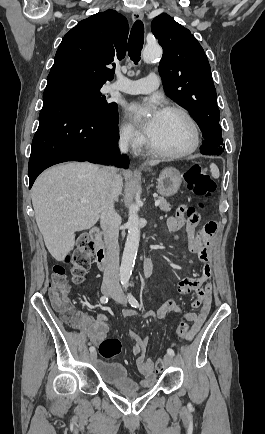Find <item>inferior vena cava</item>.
Here are the masks:
<instances>
[{"mask_svg": "<svg viewBox=\"0 0 265 434\" xmlns=\"http://www.w3.org/2000/svg\"><path fill=\"white\" fill-rule=\"evenodd\" d=\"M128 134L119 142L120 152L125 154L128 146ZM115 168H101L97 174V188L104 198V206L100 214V226L105 242V270L103 280L119 284V228L115 222L114 204H110V190L113 186Z\"/></svg>", "mask_w": 265, "mask_h": 434, "instance_id": "obj_1", "label": "inferior vena cava"}]
</instances>
